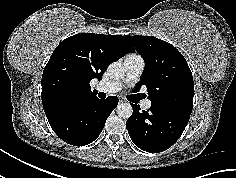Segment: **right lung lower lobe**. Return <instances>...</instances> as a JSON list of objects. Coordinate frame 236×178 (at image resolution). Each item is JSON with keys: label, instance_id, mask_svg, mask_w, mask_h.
Listing matches in <instances>:
<instances>
[{"label": "right lung lower lobe", "instance_id": "obj_1", "mask_svg": "<svg viewBox=\"0 0 236 178\" xmlns=\"http://www.w3.org/2000/svg\"><path fill=\"white\" fill-rule=\"evenodd\" d=\"M118 98L105 100L94 97L79 106L60 110L47 116L53 131L63 141L75 146L87 145L98 138Z\"/></svg>", "mask_w": 236, "mask_h": 178}]
</instances>
